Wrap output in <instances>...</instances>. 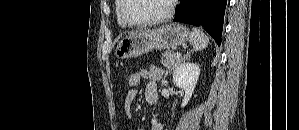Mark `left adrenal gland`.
I'll use <instances>...</instances> for the list:
<instances>
[{
    "label": "left adrenal gland",
    "mask_w": 299,
    "mask_h": 130,
    "mask_svg": "<svg viewBox=\"0 0 299 130\" xmlns=\"http://www.w3.org/2000/svg\"><path fill=\"white\" fill-rule=\"evenodd\" d=\"M189 57H190V53H186V54L183 56L182 60H189Z\"/></svg>",
    "instance_id": "a2214340"
}]
</instances>
